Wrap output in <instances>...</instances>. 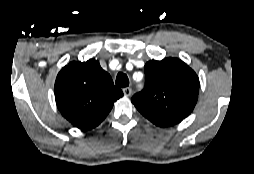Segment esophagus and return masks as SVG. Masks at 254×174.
<instances>
[{"instance_id": "esophagus-1", "label": "esophagus", "mask_w": 254, "mask_h": 174, "mask_svg": "<svg viewBox=\"0 0 254 174\" xmlns=\"http://www.w3.org/2000/svg\"><path fill=\"white\" fill-rule=\"evenodd\" d=\"M123 93L126 97H129L132 94V89L129 87L123 88Z\"/></svg>"}]
</instances>
